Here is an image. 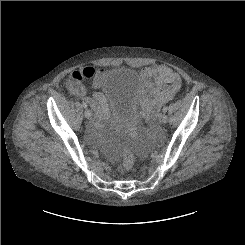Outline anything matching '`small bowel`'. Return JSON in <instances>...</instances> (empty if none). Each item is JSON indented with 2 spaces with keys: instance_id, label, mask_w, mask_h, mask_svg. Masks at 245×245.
I'll return each mask as SVG.
<instances>
[{
  "instance_id": "small-bowel-1",
  "label": "small bowel",
  "mask_w": 245,
  "mask_h": 245,
  "mask_svg": "<svg viewBox=\"0 0 245 245\" xmlns=\"http://www.w3.org/2000/svg\"><path fill=\"white\" fill-rule=\"evenodd\" d=\"M107 77L105 69L95 70L92 67L74 70L67 81V88L71 94L83 98L92 108L100 110L95 116V123L107 122L110 111L104 104V97L100 92L89 95L82 82L93 79L94 88H100ZM141 82V92L147 103L161 106L170 101L181 88L179 75L164 65H154L142 68L137 75Z\"/></svg>"
}]
</instances>
